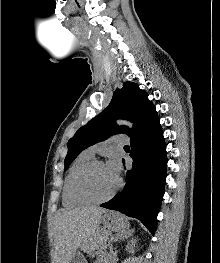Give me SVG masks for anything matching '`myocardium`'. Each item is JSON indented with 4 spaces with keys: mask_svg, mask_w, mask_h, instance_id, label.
Segmentation results:
<instances>
[{
    "mask_svg": "<svg viewBox=\"0 0 220 263\" xmlns=\"http://www.w3.org/2000/svg\"><path fill=\"white\" fill-rule=\"evenodd\" d=\"M104 164L103 161L101 160H91L90 162H88L87 164H85L75 175L73 183H72V193L73 196L83 202V203H89V204H100V203H104L108 200H110L111 198H113L116 193L119 191V189L121 188L122 185V181L120 178L117 179V184L115 186V188L106 196L101 197V198H93L89 195H87L83 190H82V181L84 179V177L89 173V171L97 166V165H102Z\"/></svg>",
    "mask_w": 220,
    "mask_h": 263,
    "instance_id": "f54148a6",
    "label": "myocardium"
}]
</instances>
